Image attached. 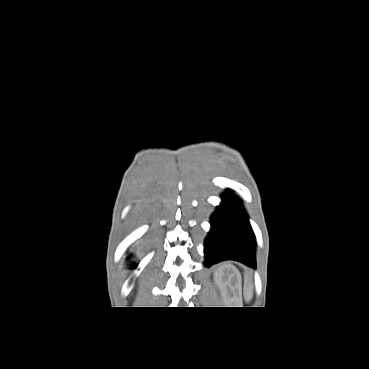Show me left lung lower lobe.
I'll return each mask as SVG.
<instances>
[{
    "label": "left lung lower lobe",
    "mask_w": 369,
    "mask_h": 369,
    "mask_svg": "<svg viewBox=\"0 0 369 369\" xmlns=\"http://www.w3.org/2000/svg\"><path fill=\"white\" fill-rule=\"evenodd\" d=\"M255 237L242 202L231 193L211 216V231L204 245L205 265L236 260L256 268Z\"/></svg>",
    "instance_id": "left-lung-lower-lobe-1"
}]
</instances>
